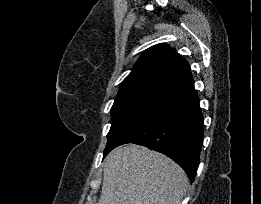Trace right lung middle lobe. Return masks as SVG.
<instances>
[{
	"instance_id": "obj_1",
	"label": "right lung middle lobe",
	"mask_w": 261,
	"mask_h": 204,
	"mask_svg": "<svg viewBox=\"0 0 261 204\" xmlns=\"http://www.w3.org/2000/svg\"><path fill=\"white\" fill-rule=\"evenodd\" d=\"M167 95L166 93L152 91L117 95L111 108V128L107 135L104 153L158 106Z\"/></svg>"
}]
</instances>
